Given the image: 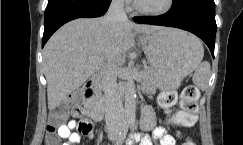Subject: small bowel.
Masks as SVG:
<instances>
[{
  "label": "small bowel",
  "instance_id": "obj_1",
  "mask_svg": "<svg viewBox=\"0 0 243 145\" xmlns=\"http://www.w3.org/2000/svg\"><path fill=\"white\" fill-rule=\"evenodd\" d=\"M156 123L157 117L153 109L149 106L144 107L140 120V128L143 132L151 131L152 135L149 136L145 133H135L129 138L130 145L135 143H138L139 145H152V139L159 140L160 145H175L174 138L167 133L164 127L157 126ZM76 125L77 122L71 120L67 124L60 126L58 134L64 140L62 145H76L79 143L80 134L73 131ZM86 135L93 137L92 131Z\"/></svg>",
  "mask_w": 243,
  "mask_h": 145
}]
</instances>
